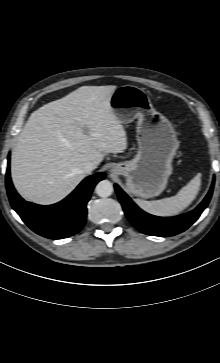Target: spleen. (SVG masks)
Wrapping results in <instances>:
<instances>
[{"instance_id":"obj_1","label":"spleen","mask_w":220,"mask_h":363,"mask_svg":"<svg viewBox=\"0 0 220 363\" xmlns=\"http://www.w3.org/2000/svg\"><path fill=\"white\" fill-rule=\"evenodd\" d=\"M201 185V174L198 173L190 182L181 188L173 197L155 201L136 199L137 205L149 214L159 217H172L186 209L196 198Z\"/></svg>"}]
</instances>
